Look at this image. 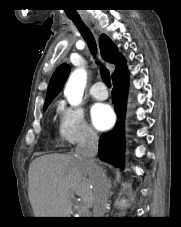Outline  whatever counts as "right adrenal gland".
<instances>
[{
  "instance_id": "right-adrenal-gland-1",
  "label": "right adrenal gland",
  "mask_w": 181,
  "mask_h": 227,
  "mask_svg": "<svg viewBox=\"0 0 181 227\" xmlns=\"http://www.w3.org/2000/svg\"><path fill=\"white\" fill-rule=\"evenodd\" d=\"M108 182H109V185H110V188H111L112 185H111V180L109 178H108Z\"/></svg>"
}]
</instances>
